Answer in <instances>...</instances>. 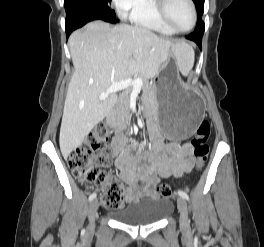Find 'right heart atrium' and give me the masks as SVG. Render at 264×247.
<instances>
[{
	"mask_svg": "<svg viewBox=\"0 0 264 247\" xmlns=\"http://www.w3.org/2000/svg\"><path fill=\"white\" fill-rule=\"evenodd\" d=\"M118 14L121 17H127L135 7L137 0H112Z\"/></svg>",
	"mask_w": 264,
	"mask_h": 247,
	"instance_id": "d8ad5b80",
	"label": "right heart atrium"
}]
</instances>
